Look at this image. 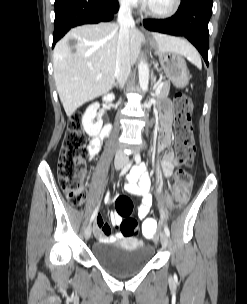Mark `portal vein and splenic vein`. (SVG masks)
Returning a JSON list of instances; mask_svg holds the SVG:
<instances>
[{
    "label": "portal vein and splenic vein",
    "mask_w": 247,
    "mask_h": 304,
    "mask_svg": "<svg viewBox=\"0 0 247 304\" xmlns=\"http://www.w3.org/2000/svg\"><path fill=\"white\" fill-rule=\"evenodd\" d=\"M162 83H160L159 85H158V87H157V89H156V91H155V93L156 94H158L159 92H160V90H161V88H162Z\"/></svg>",
    "instance_id": "18ae733b"
}]
</instances>
